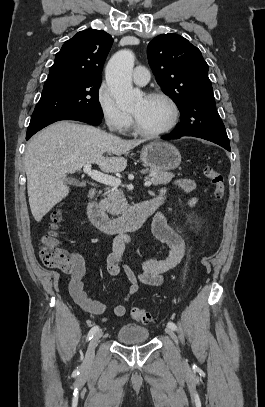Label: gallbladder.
Wrapping results in <instances>:
<instances>
[{
	"instance_id": "gallbladder-1",
	"label": "gallbladder",
	"mask_w": 265,
	"mask_h": 407,
	"mask_svg": "<svg viewBox=\"0 0 265 407\" xmlns=\"http://www.w3.org/2000/svg\"><path fill=\"white\" fill-rule=\"evenodd\" d=\"M67 182L71 185H79V181L76 179L69 178L67 179Z\"/></svg>"
}]
</instances>
